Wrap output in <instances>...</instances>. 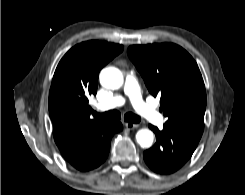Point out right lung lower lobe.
<instances>
[{"label":"right lung lower lobe","instance_id":"right-lung-lower-lobe-1","mask_svg":"<svg viewBox=\"0 0 245 195\" xmlns=\"http://www.w3.org/2000/svg\"><path fill=\"white\" fill-rule=\"evenodd\" d=\"M123 126L120 122L109 123L99 134L97 138V159L93 164V167L88 169L92 170L100 166L107 158L110 150L111 138L116 132H120ZM86 170V171H88Z\"/></svg>","mask_w":245,"mask_h":195}]
</instances>
